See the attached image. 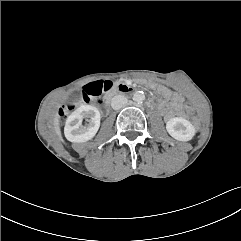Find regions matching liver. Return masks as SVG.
I'll use <instances>...</instances> for the list:
<instances>
[{"instance_id":"obj_1","label":"liver","mask_w":241,"mask_h":241,"mask_svg":"<svg viewBox=\"0 0 241 241\" xmlns=\"http://www.w3.org/2000/svg\"><path fill=\"white\" fill-rule=\"evenodd\" d=\"M54 125H55V130H56V132H57V133H60L58 117L55 118V120H54Z\"/></svg>"}]
</instances>
